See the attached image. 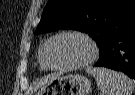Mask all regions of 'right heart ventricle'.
Wrapping results in <instances>:
<instances>
[{
	"mask_svg": "<svg viewBox=\"0 0 135 95\" xmlns=\"http://www.w3.org/2000/svg\"><path fill=\"white\" fill-rule=\"evenodd\" d=\"M49 40H50V38L46 39L44 41V43L42 44V46L39 49V55H38V62H39L40 68L44 71H47L49 69L45 63V57H44L45 50H46Z\"/></svg>",
	"mask_w": 135,
	"mask_h": 95,
	"instance_id": "right-heart-ventricle-1",
	"label": "right heart ventricle"
}]
</instances>
